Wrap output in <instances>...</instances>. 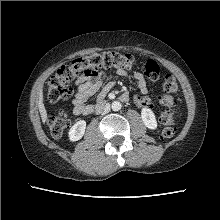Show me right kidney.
<instances>
[{"label":"right kidney","instance_id":"obj_1","mask_svg":"<svg viewBox=\"0 0 220 220\" xmlns=\"http://www.w3.org/2000/svg\"><path fill=\"white\" fill-rule=\"evenodd\" d=\"M86 129V122L84 120H80L76 122L69 130L68 137L69 140L74 142L80 140Z\"/></svg>","mask_w":220,"mask_h":220}]
</instances>
